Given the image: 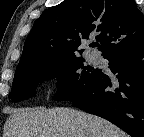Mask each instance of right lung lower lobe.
I'll return each instance as SVG.
<instances>
[{
    "label": "right lung lower lobe",
    "instance_id": "obj_1",
    "mask_svg": "<svg viewBox=\"0 0 144 137\" xmlns=\"http://www.w3.org/2000/svg\"><path fill=\"white\" fill-rule=\"evenodd\" d=\"M116 74L102 71L73 106L114 123L132 137H144V42L106 57Z\"/></svg>",
    "mask_w": 144,
    "mask_h": 137
}]
</instances>
